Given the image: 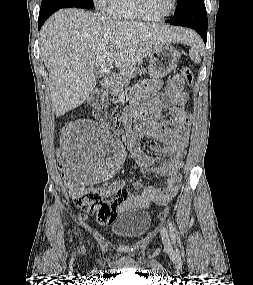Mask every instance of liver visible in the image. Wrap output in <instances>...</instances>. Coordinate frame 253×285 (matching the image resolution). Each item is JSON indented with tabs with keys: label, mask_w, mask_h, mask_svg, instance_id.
<instances>
[{
	"label": "liver",
	"mask_w": 253,
	"mask_h": 285,
	"mask_svg": "<svg viewBox=\"0 0 253 285\" xmlns=\"http://www.w3.org/2000/svg\"><path fill=\"white\" fill-rule=\"evenodd\" d=\"M190 35L177 27L124 22L83 9L57 11L40 31L55 115H64L89 97L96 86L95 67L107 73L113 64L133 66L160 44L187 42Z\"/></svg>",
	"instance_id": "obj_1"
}]
</instances>
